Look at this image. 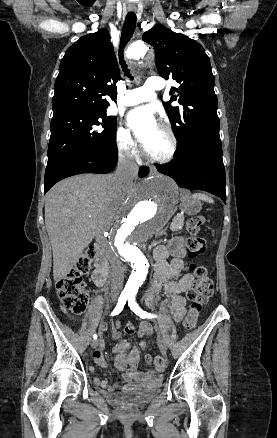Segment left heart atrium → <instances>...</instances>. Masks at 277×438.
<instances>
[{
	"label": "left heart atrium",
	"mask_w": 277,
	"mask_h": 438,
	"mask_svg": "<svg viewBox=\"0 0 277 438\" xmlns=\"http://www.w3.org/2000/svg\"><path fill=\"white\" fill-rule=\"evenodd\" d=\"M128 124L134 129L137 138L144 145L149 134L157 127L153 111L148 107L132 110L127 118Z\"/></svg>",
	"instance_id": "obj_1"
}]
</instances>
